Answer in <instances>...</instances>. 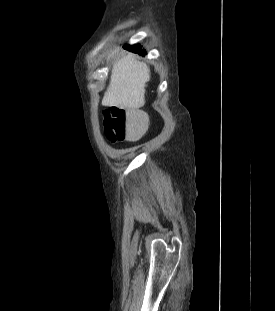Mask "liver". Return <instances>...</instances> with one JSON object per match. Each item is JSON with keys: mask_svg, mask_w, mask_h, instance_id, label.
<instances>
[{"mask_svg": "<svg viewBox=\"0 0 275 311\" xmlns=\"http://www.w3.org/2000/svg\"><path fill=\"white\" fill-rule=\"evenodd\" d=\"M150 80V69L133 55L113 63L109 86L102 104L120 109H138L145 104V87Z\"/></svg>", "mask_w": 275, "mask_h": 311, "instance_id": "obj_1", "label": "liver"}]
</instances>
